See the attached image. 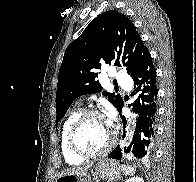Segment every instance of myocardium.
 <instances>
[{"label": "myocardium", "mask_w": 196, "mask_h": 182, "mask_svg": "<svg viewBox=\"0 0 196 182\" xmlns=\"http://www.w3.org/2000/svg\"><path fill=\"white\" fill-rule=\"evenodd\" d=\"M91 117L103 118V115L97 110H87L82 112L72 123L68 132V146L72 153L82 159H94L106 155L114 146L115 137L113 132H110V138L107 144L99 151L88 153L83 151L76 143V135L81 125Z\"/></svg>", "instance_id": "obj_1"}]
</instances>
